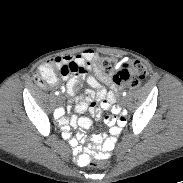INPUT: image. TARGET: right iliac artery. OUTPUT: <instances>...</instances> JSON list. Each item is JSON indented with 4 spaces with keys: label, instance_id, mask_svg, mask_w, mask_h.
<instances>
[{
    "label": "right iliac artery",
    "instance_id": "obj_1",
    "mask_svg": "<svg viewBox=\"0 0 183 183\" xmlns=\"http://www.w3.org/2000/svg\"><path fill=\"white\" fill-rule=\"evenodd\" d=\"M55 94H56V95H59V92H55ZM59 113H60V110L57 109V110L54 112V116H55L56 118H58Z\"/></svg>",
    "mask_w": 183,
    "mask_h": 183
}]
</instances>
